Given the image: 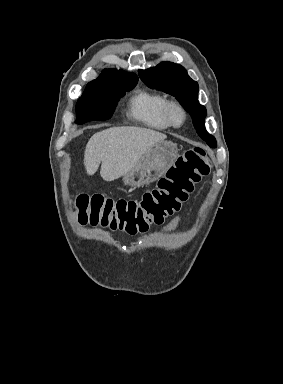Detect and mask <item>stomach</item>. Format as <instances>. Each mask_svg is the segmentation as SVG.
I'll list each match as a JSON object with an SVG mask.
<instances>
[{
    "instance_id": "0dacf381",
    "label": "stomach",
    "mask_w": 283,
    "mask_h": 384,
    "mask_svg": "<svg viewBox=\"0 0 283 384\" xmlns=\"http://www.w3.org/2000/svg\"><path fill=\"white\" fill-rule=\"evenodd\" d=\"M178 156L177 144L172 142H157L140 158L135 168L124 174L123 182L130 188L148 186L161 178L172 166Z\"/></svg>"
}]
</instances>
